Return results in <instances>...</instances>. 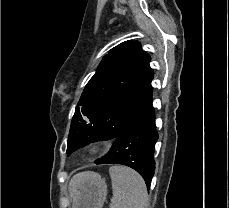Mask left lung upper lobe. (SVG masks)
<instances>
[{"mask_svg":"<svg viewBox=\"0 0 229 208\" xmlns=\"http://www.w3.org/2000/svg\"><path fill=\"white\" fill-rule=\"evenodd\" d=\"M150 60L133 40L117 45L103 57L75 109L67 155L97 133L122 130L153 108Z\"/></svg>","mask_w":229,"mask_h":208,"instance_id":"1","label":"left lung upper lobe"}]
</instances>
